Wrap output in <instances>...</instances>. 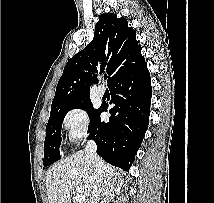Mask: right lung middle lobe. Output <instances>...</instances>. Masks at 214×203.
I'll return each instance as SVG.
<instances>
[{
  "instance_id": "obj_1",
  "label": "right lung middle lobe",
  "mask_w": 214,
  "mask_h": 203,
  "mask_svg": "<svg viewBox=\"0 0 214 203\" xmlns=\"http://www.w3.org/2000/svg\"><path fill=\"white\" fill-rule=\"evenodd\" d=\"M83 109L90 118L88 133L91 131L99 109H94L89 97L64 105L51 111L46 126V137L44 142V166L47 167L61 158L59 146L61 144V127L65 115L72 109Z\"/></svg>"
}]
</instances>
